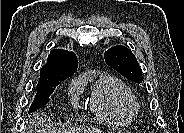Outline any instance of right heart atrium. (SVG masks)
Wrapping results in <instances>:
<instances>
[{"mask_svg": "<svg viewBox=\"0 0 184 133\" xmlns=\"http://www.w3.org/2000/svg\"><path fill=\"white\" fill-rule=\"evenodd\" d=\"M81 90V84L79 81L74 82L70 87V93L75 98Z\"/></svg>", "mask_w": 184, "mask_h": 133, "instance_id": "right-heart-atrium-1", "label": "right heart atrium"}]
</instances>
